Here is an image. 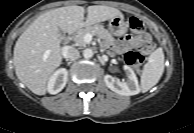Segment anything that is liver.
I'll return each mask as SVG.
<instances>
[{"label":"liver","instance_id":"6515ba94","mask_svg":"<svg viewBox=\"0 0 194 133\" xmlns=\"http://www.w3.org/2000/svg\"><path fill=\"white\" fill-rule=\"evenodd\" d=\"M66 6L41 14L18 38L14 47V66L18 79L36 95H45L48 80L62 61L61 34H72L83 27L123 14L116 8L95 5ZM46 51H50L46 56Z\"/></svg>","mask_w":194,"mask_h":133}]
</instances>
